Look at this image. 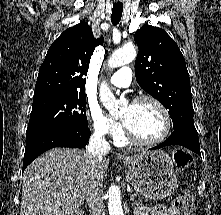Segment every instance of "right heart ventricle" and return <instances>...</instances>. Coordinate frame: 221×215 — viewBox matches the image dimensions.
Here are the masks:
<instances>
[{"mask_svg":"<svg viewBox=\"0 0 221 215\" xmlns=\"http://www.w3.org/2000/svg\"><path fill=\"white\" fill-rule=\"evenodd\" d=\"M116 143L118 145H124L126 143V139L124 138V136L122 134H119L117 137H116Z\"/></svg>","mask_w":221,"mask_h":215,"instance_id":"obj_1","label":"right heart ventricle"}]
</instances>
